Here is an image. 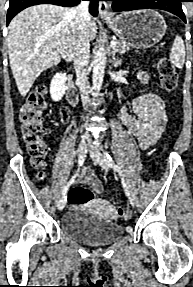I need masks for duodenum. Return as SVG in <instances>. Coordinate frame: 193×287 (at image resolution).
<instances>
[{
  "label": "duodenum",
  "mask_w": 193,
  "mask_h": 287,
  "mask_svg": "<svg viewBox=\"0 0 193 287\" xmlns=\"http://www.w3.org/2000/svg\"><path fill=\"white\" fill-rule=\"evenodd\" d=\"M78 90L72 79L69 80L67 88V101L70 105H74L77 102Z\"/></svg>",
  "instance_id": "duodenum-1"
}]
</instances>
